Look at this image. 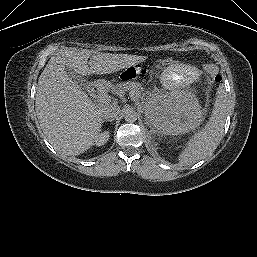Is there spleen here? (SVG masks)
I'll return each instance as SVG.
<instances>
[{
    "label": "spleen",
    "instance_id": "3e777b00",
    "mask_svg": "<svg viewBox=\"0 0 257 257\" xmlns=\"http://www.w3.org/2000/svg\"><path fill=\"white\" fill-rule=\"evenodd\" d=\"M227 114L225 90L219 87L208 122L190 138L179 154L178 160L182 166L193 165L213 153L222 139Z\"/></svg>",
    "mask_w": 257,
    "mask_h": 257
}]
</instances>
